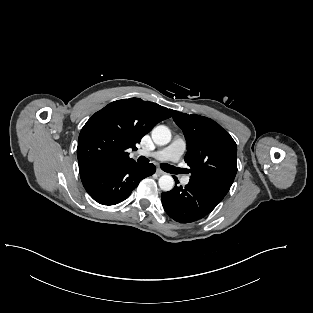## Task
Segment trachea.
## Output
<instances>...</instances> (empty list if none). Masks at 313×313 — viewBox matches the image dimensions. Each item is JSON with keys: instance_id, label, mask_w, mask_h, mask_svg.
Segmentation results:
<instances>
[{"instance_id": "trachea-1", "label": "trachea", "mask_w": 313, "mask_h": 313, "mask_svg": "<svg viewBox=\"0 0 313 313\" xmlns=\"http://www.w3.org/2000/svg\"><path fill=\"white\" fill-rule=\"evenodd\" d=\"M137 161H138V163L146 164L149 162V159L144 157V156H140L137 159ZM161 168H162V170H164L165 172H168V173H176L178 171L177 168H175L174 166H171L169 164H161Z\"/></svg>"}]
</instances>
